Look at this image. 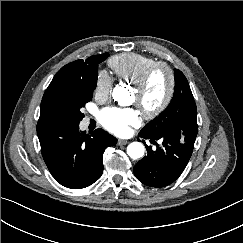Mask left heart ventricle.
Instances as JSON below:
<instances>
[{
    "label": "left heart ventricle",
    "instance_id": "obj_1",
    "mask_svg": "<svg viewBox=\"0 0 243 243\" xmlns=\"http://www.w3.org/2000/svg\"><path fill=\"white\" fill-rule=\"evenodd\" d=\"M167 85V75L163 69L155 70L148 84L143 92V94L139 97L137 93L132 90L131 100L137 105H150L156 102L164 93Z\"/></svg>",
    "mask_w": 243,
    "mask_h": 243
}]
</instances>
